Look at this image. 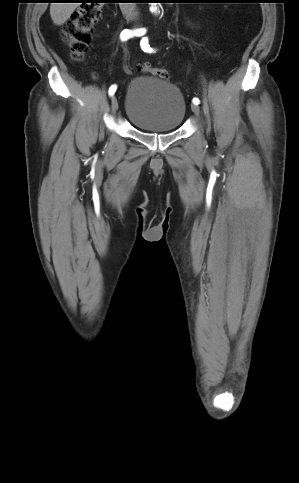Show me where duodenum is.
<instances>
[{
	"instance_id": "410a0bca",
	"label": "duodenum",
	"mask_w": 299,
	"mask_h": 483,
	"mask_svg": "<svg viewBox=\"0 0 299 483\" xmlns=\"http://www.w3.org/2000/svg\"><path fill=\"white\" fill-rule=\"evenodd\" d=\"M122 11L127 19H136L138 16L137 8L132 0H124Z\"/></svg>"
}]
</instances>
